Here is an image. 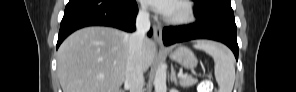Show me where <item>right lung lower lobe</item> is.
I'll use <instances>...</instances> for the list:
<instances>
[{
    "mask_svg": "<svg viewBox=\"0 0 296 92\" xmlns=\"http://www.w3.org/2000/svg\"><path fill=\"white\" fill-rule=\"evenodd\" d=\"M137 13L135 0H70L61 21L57 48L69 34L86 26H111L132 32Z\"/></svg>",
    "mask_w": 296,
    "mask_h": 92,
    "instance_id": "obj_1",
    "label": "right lung lower lobe"
}]
</instances>
